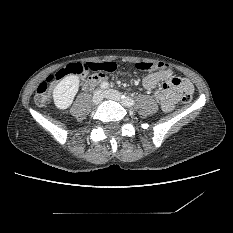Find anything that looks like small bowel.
<instances>
[{"mask_svg":"<svg viewBox=\"0 0 233 233\" xmlns=\"http://www.w3.org/2000/svg\"><path fill=\"white\" fill-rule=\"evenodd\" d=\"M107 63L116 65L114 60ZM89 66L90 63L85 64V73L91 70ZM142 85L146 90L154 92V98L164 112H171L175 108L182 93L193 94V85L190 80L174 76L173 71L168 67L151 71L143 78Z\"/></svg>","mask_w":233,"mask_h":233,"instance_id":"1","label":"small bowel"}]
</instances>
